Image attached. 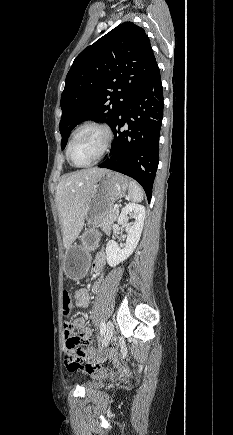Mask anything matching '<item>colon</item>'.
Wrapping results in <instances>:
<instances>
[{"instance_id": "1", "label": "colon", "mask_w": 233, "mask_h": 435, "mask_svg": "<svg viewBox=\"0 0 233 435\" xmlns=\"http://www.w3.org/2000/svg\"><path fill=\"white\" fill-rule=\"evenodd\" d=\"M73 304L70 293L67 288L62 290V313L63 317L68 320L72 315ZM65 332V348L64 364L69 371H76L80 369L82 360L84 358L83 351L80 349V343L82 339V333L72 324H66L64 327ZM90 372L92 370L99 371V367L96 363L87 365L84 368Z\"/></svg>"}]
</instances>
